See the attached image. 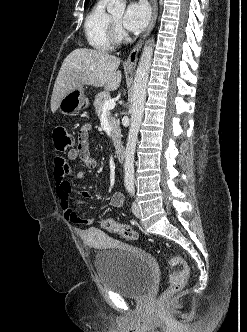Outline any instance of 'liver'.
<instances>
[{
	"instance_id": "1",
	"label": "liver",
	"mask_w": 247,
	"mask_h": 332,
	"mask_svg": "<svg viewBox=\"0 0 247 332\" xmlns=\"http://www.w3.org/2000/svg\"><path fill=\"white\" fill-rule=\"evenodd\" d=\"M120 59L104 51L79 48L63 61L56 78L51 97V111L58 109L59 102L69 92L84 85L104 87L106 91L118 89L122 79L118 71Z\"/></svg>"
}]
</instances>
